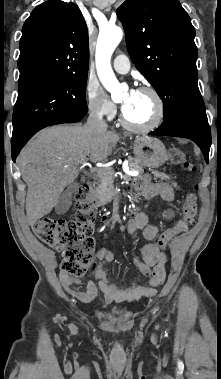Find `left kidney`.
<instances>
[{"label":"left kidney","instance_id":"obj_1","mask_svg":"<svg viewBox=\"0 0 221 379\" xmlns=\"http://www.w3.org/2000/svg\"><path fill=\"white\" fill-rule=\"evenodd\" d=\"M164 217H167V214L163 215Z\"/></svg>","mask_w":221,"mask_h":379}]
</instances>
